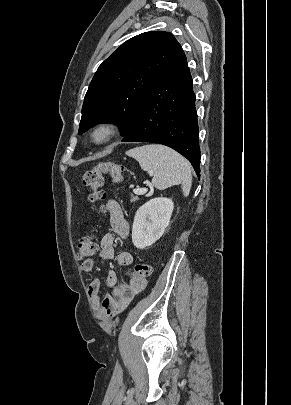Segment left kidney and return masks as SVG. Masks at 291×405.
Listing matches in <instances>:
<instances>
[{
    "instance_id": "5707ae66",
    "label": "left kidney",
    "mask_w": 291,
    "mask_h": 405,
    "mask_svg": "<svg viewBox=\"0 0 291 405\" xmlns=\"http://www.w3.org/2000/svg\"><path fill=\"white\" fill-rule=\"evenodd\" d=\"M174 203L157 197L143 204L136 212L132 226V242L138 249L154 244L170 223Z\"/></svg>"
}]
</instances>
